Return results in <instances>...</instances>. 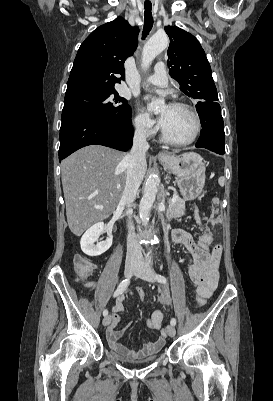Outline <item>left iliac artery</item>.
I'll list each match as a JSON object with an SVG mask.
<instances>
[{
  "mask_svg": "<svg viewBox=\"0 0 273 401\" xmlns=\"http://www.w3.org/2000/svg\"><path fill=\"white\" fill-rule=\"evenodd\" d=\"M155 277L158 280V282H160V283H166L167 282V279L164 276L160 275V274H156ZM170 323H171V325L175 326L176 319L172 318Z\"/></svg>",
  "mask_w": 273,
  "mask_h": 401,
  "instance_id": "44dca946",
  "label": "left iliac artery"
}]
</instances>
